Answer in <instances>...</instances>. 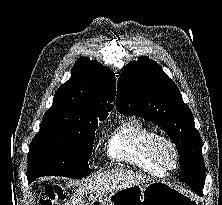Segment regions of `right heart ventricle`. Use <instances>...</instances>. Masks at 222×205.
I'll list each match as a JSON object with an SVG mask.
<instances>
[{
    "mask_svg": "<svg viewBox=\"0 0 222 205\" xmlns=\"http://www.w3.org/2000/svg\"><path fill=\"white\" fill-rule=\"evenodd\" d=\"M153 135L152 130L132 120L113 136L109 148L110 155L152 175L163 176L165 171L154 163L149 153V141Z\"/></svg>",
    "mask_w": 222,
    "mask_h": 205,
    "instance_id": "obj_1",
    "label": "right heart ventricle"
}]
</instances>
